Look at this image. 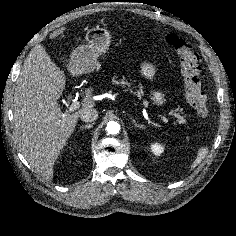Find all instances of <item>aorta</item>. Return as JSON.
Wrapping results in <instances>:
<instances>
[{
    "label": "aorta",
    "instance_id": "1",
    "mask_svg": "<svg viewBox=\"0 0 236 236\" xmlns=\"http://www.w3.org/2000/svg\"><path fill=\"white\" fill-rule=\"evenodd\" d=\"M106 131L111 135L118 134L120 131V125L115 121H109L107 123Z\"/></svg>",
    "mask_w": 236,
    "mask_h": 236
}]
</instances>
